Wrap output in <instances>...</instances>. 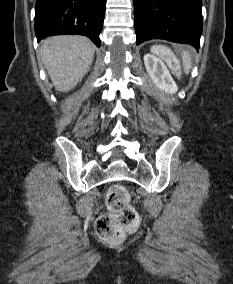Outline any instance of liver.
<instances>
[{"instance_id": "1", "label": "liver", "mask_w": 233, "mask_h": 284, "mask_svg": "<svg viewBox=\"0 0 233 284\" xmlns=\"http://www.w3.org/2000/svg\"><path fill=\"white\" fill-rule=\"evenodd\" d=\"M95 45L83 36H54L41 42V59L56 90L75 88L89 71Z\"/></svg>"}]
</instances>
